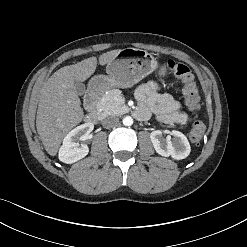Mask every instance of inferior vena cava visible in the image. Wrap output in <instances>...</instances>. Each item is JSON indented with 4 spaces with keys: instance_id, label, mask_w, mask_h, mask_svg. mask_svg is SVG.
<instances>
[{
    "instance_id": "602c4592",
    "label": "inferior vena cava",
    "mask_w": 247,
    "mask_h": 247,
    "mask_svg": "<svg viewBox=\"0 0 247 247\" xmlns=\"http://www.w3.org/2000/svg\"><path fill=\"white\" fill-rule=\"evenodd\" d=\"M102 124L106 128H111L119 124V118L117 116H108L103 121Z\"/></svg>"
}]
</instances>
